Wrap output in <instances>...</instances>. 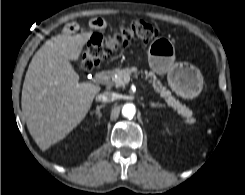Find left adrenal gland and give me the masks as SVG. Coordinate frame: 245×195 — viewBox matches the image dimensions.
<instances>
[{
	"label": "left adrenal gland",
	"instance_id": "left-adrenal-gland-1",
	"mask_svg": "<svg viewBox=\"0 0 245 195\" xmlns=\"http://www.w3.org/2000/svg\"><path fill=\"white\" fill-rule=\"evenodd\" d=\"M150 106L154 108V107H162L163 105L159 103L150 102Z\"/></svg>",
	"mask_w": 245,
	"mask_h": 195
}]
</instances>
